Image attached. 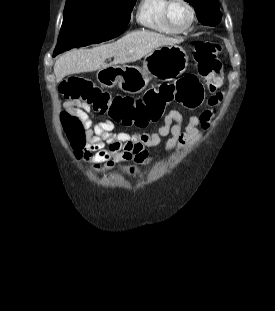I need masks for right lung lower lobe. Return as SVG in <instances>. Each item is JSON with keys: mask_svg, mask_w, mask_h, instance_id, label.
I'll use <instances>...</instances> for the list:
<instances>
[{"mask_svg": "<svg viewBox=\"0 0 275 311\" xmlns=\"http://www.w3.org/2000/svg\"><path fill=\"white\" fill-rule=\"evenodd\" d=\"M124 31H125V26H124V27L121 26L120 28H116L114 34H112L110 37H105V38L101 39L100 42L106 41V40H109V39H112V38H114V37L120 35V34L123 33ZM100 42H99V43H100Z\"/></svg>", "mask_w": 275, "mask_h": 311, "instance_id": "obj_1", "label": "right lung lower lobe"}]
</instances>
